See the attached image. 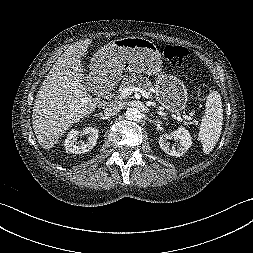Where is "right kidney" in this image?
Wrapping results in <instances>:
<instances>
[{
    "label": "right kidney",
    "mask_w": 253,
    "mask_h": 253,
    "mask_svg": "<svg viewBox=\"0 0 253 253\" xmlns=\"http://www.w3.org/2000/svg\"><path fill=\"white\" fill-rule=\"evenodd\" d=\"M81 134L88 135V141L79 142L77 138ZM98 139V130L92 127H86L81 132L77 130H71L65 139V149L70 153H84L91 150Z\"/></svg>",
    "instance_id": "obj_1"
}]
</instances>
